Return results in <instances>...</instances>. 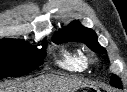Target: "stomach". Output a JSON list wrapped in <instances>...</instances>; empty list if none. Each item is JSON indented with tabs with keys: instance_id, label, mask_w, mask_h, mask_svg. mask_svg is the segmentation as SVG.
<instances>
[{
	"instance_id": "1",
	"label": "stomach",
	"mask_w": 127,
	"mask_h": 92,
	"mask_svg": "<svg viewBox=\"0 0 127 92\" xmlns=\"http://www.w3.org/2000/svg\"><path fill=\"white\" fill-rule=\"evenodd\" d=\"M79 92H89V89L82 86V87L79 88Z\"/></svg>"
}]
</instances>
